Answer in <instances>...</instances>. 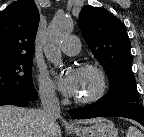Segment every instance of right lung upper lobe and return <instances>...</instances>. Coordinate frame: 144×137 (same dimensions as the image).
Segmentation results:
<instances>
[{
    "instance_id": "right-lung-upper-lobe-1",
    "label": "right lung upper lobe",
    "mask_w": 144,
    "mask_h": 137,
    "mask_svg": "<svg viewBox=\"0 0 144 137\" xmlns=\"http://www.w3.org/2000/svg\"><path fill=\"white\" fill-rule=\"evenodd\" d=\"M39 12L33 0H18L0 13V63L33 56Z\"/></svg>"
}]
</instances>
